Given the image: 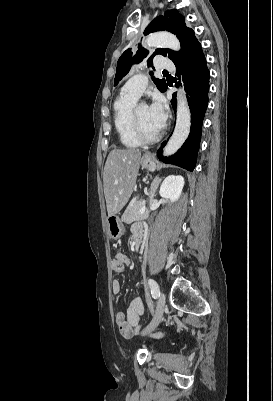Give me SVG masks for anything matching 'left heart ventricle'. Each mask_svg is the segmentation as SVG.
I'll list each match as a JSON object with an SVG mask.
<instances>
[{
    "mask_svg": "<svg viewBox=\"0 0 273 401\" xmlns=\"http://www.w3.org/2000/svg\"><path fill=\"white\" fill-rule=\"evenodd\" d=\"M137 117L142 129L147 134H155L159 131V129L152 123L145 104H139L137 106Z\"/></svg>",
    "mask_w": 273,
    "mask_h": 401,
    "instance_id": "left-heart-ventricle-1",
    "label": "left heart ventricle"
}]
</instances>
